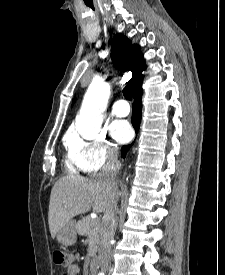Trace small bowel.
Wrapping results in <instances>:
<instances>
[{
  "instance_id": "small-bowel-1",
  "label": "small bowel",
  "mask_w": 225,
  "mask_h": 275,
  "mask_svg": "<svg viewBox=\"0 0 225 275\" xmlns=\"http://www.w3.org/2000/svg\"><path fill=\"white\" fill-rule=\"evenodd\" d=\"M79 274H80V268L78 264L74 263L69 268H67L66 271L61 275H79Z\"/></svg>"
}]
</instances>
